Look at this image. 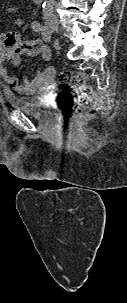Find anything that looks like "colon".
<instances>
[{"mask_svg": "<svg viewBox=\"0 0 127 303\" xmlns=\"http://www.w3.org/2000/svg\"><path fill=\"white\" fill-rule=\"evenodd\" d=\"M14 42V39H8ZM17 43V42H16ZM58 85L61 88L60 106L65 120L90 108L94 100V91L76 71L64 70L58 75Z\"/></svg>", "mask_w": 127, "mask_h": 303, "instance_id": "obj_1", "label": "colon"}]
</instances>
